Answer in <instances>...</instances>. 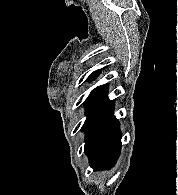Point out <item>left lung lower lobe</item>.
Segmentation results:
<instances>
[{
	"mask_svg": "<svg viewBox=\"0 0 178 195\" xmlns=\"http://www.w3.org/2000/svg\"><path fill=\"white\" fill-rule=\"evenodd\" d=\"M113 112L114 102L82 127L86 133L84 152L94 171L111 168L120 153L122 134Z\"/></svg>",
	"mask_w": 178,
	"mask_h": 195,
	"instance_id": "left-lung-lower-lobe-1",
	"label": "left lung lower lobe"
}]
</instances>
